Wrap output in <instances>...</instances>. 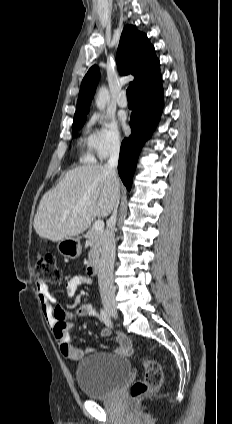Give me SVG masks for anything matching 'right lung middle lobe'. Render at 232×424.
Wrapping results in <instances>:
<instances>
[{"label": "right lung middle lobe", "mask_w": 232, "mask_h": 424, "mask_svg": "<svg viewBox=\"0 0 232 424\" xmlns=\"http://www.w3.org/2000/svg\"><path fill=\"white\" fill-rule=\"evenodd\" d=\"M86 118L75 120L72 125V134L73 137L77 135L78 129L84 125Z\"/></svg>", "instance_id": "1"}]
</instances>
